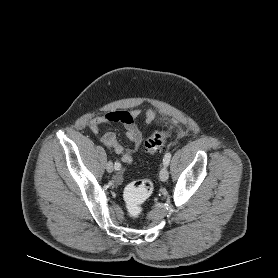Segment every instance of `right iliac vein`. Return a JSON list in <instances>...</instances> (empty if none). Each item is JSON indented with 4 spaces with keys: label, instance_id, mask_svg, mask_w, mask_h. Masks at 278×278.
<instances>
[{
    "label": "right iliac vein",
    "instance_id": "63e3f726",
    "mask_svg": "<svg viewBox=\"0 0 278 278\" xmlns=\"http://www.w3.org/2000/svg\"><path fill=\"white\" fill-rule=\"evenodd\" d=\"M106 170H107L109 173H111V172L113 171V164H112V162H108V163L106 164Z\"/></svg>",
    "mask_w": 278,
    "mask_h": 278
}]
</instances>
